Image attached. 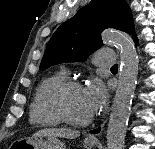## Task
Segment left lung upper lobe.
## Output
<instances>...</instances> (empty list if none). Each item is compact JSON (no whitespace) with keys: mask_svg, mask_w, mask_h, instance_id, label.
<instances>
[{"mask_svg":"<svg viewBox=\"0 0 155 149\" xmlns=\"http://www.w3.org/2000/svg\"><path fill=\"white\" fill-rule=\"evenodd\" d=\"M115 28L134 34L131 10L124 0H92L64 22L48 42L40 70L63 62L84 61L103 45L101 32Z\"/></svg>","mask_w":155,"mask_h":149,"instance_id":"left-lung-upper-lobe-1","label":"left lung upper lobe"}]
</instances>
